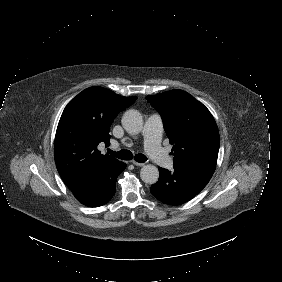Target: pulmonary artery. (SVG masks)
Instances as JSON below:
<instances>
[{
    "label": "pulmonary artery",
    "instance_id": "1",
    "mask_svg": "<svg viewBox=\"0 0 282 282\" xmlns=\"http://www.w3.org/2000/svg\"><path fill=\"white\" fill-rule=\"evenodd\" d=\"M163 131L162 120L158 115H152L146 119L143 127L144 148L148 157L156 162L159 168L165 169L171 165L172 159L165 153L161 145V133ZM113 144V148L117 147Z\"/></svg>",
    "mask_w": 282,
    "mask_h": 282
}]
</instances>
